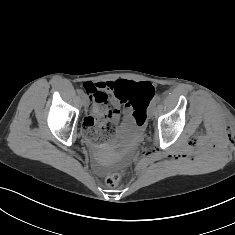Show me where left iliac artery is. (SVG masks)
I'll use <instances>...</instances> for the list:
<instances>
[{"instance_id": "44dca946", "label": "left iliac artery", "mask_w": 235, "mask_h": 235, "mask_svg": "<svg viewBox=\"0 0 235 235\" xmlns=\"http://www.w3.org/2000/svg\"><path fill=\"white\" fill-rule=\"evenodd\" d=\"M159 99H160L159 96H156L153 100V103H157L159 101Z\"/></svg>"}]
</instances>
